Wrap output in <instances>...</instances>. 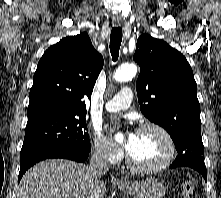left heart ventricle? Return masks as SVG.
Masks as SVG:
<instances>
[{"instance_id":"b2bd125f","label":"left heart ventricle","mask_w":221,"mask_h":198,"mask_svg":"<svg viewBox=\"0 0 221 198\" xmlns=\"http://www.w3.org/2000/svg\"><path fill=\"white\" fill-rule=\"evenodd\" d=\"M167 144L162 135L153 129L136 132L135 141L128 151L129 156L138 164L158 163L166 154Z\"/></svg>"}]
</instances>
